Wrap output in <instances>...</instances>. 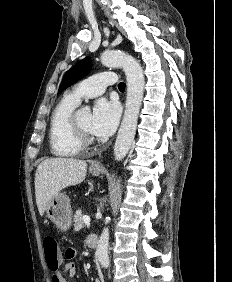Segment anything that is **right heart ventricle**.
Masks as SVG:
<instances>
[{"mask_svg":"<svg viewBox=\"0 0 232 282\" xmlns=\"http://www.w3.org/2000/svg\"><path fill=\"white\" fill-rule=\"evenodd\" d=\"M79 105L69 94H65L55 105L49 126V146L50 151L57 157H71L81 151L79 144L72 135L69 117Z\"/></svg>","mask_w":232,"mask_h":282,"instance_id":"obj_1","label":"right heart ventricle"}]
</instances>
